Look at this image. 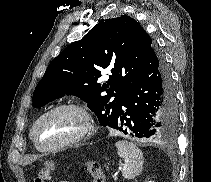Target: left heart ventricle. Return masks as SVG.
<instances>
[{
  "label": "left heart ventricle",
  "mask_w": 211,
  "mask_h": 182,
  "mask_svg": "<svg viewBox=\"0 0 211 182\" xmlns=\"http://www.w3.org/2000/svg\"><path fill=\"white\" fill-rule=\"evenodd\" d=\"M82 116L74 110H58L37 126L35 138L39 145L50 146L76 135L83 127Z\"/></svg>",
  "instance_id": "obj_1"
}]
</instances>
